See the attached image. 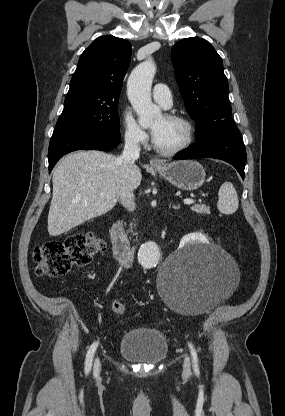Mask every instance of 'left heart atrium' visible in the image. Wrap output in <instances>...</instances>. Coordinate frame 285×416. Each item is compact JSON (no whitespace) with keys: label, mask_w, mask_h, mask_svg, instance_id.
Returning a JSON list of instances; mask_svg holds the SVG:
<instances>
[{"label":"left heart atrium","mask_w":285,"mask_h":416,"mask_svg":"<svg viewBox=\"0 0 285 416\" xmlns=\"http://www.w3.org/2000/svg\"><path fill=\"white\" fill-rule=\"evenodd\" d=\"M152 136L154 138V140L157 139L158 135H159V128H152Z\"/></svg>","instance_id":"39dd6f15"}]
</instances>
